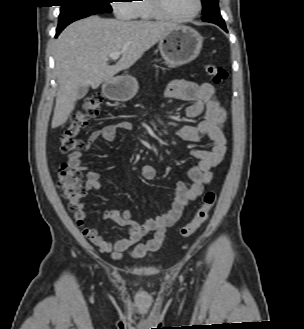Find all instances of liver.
Masks as SVG:
<instances>
[{"label":"liver","instance_id":"1","mask_svg":"<svg viewBox=\"0 0 304 329\" xmlns=\"http://www.w3.org/2000/svg\"><path fill=\"white\" fill-rule=\"evenodd\" d=\"M176 25L167 22L120 21L91 16L70 24L55 41V73L59 89L52 128L63 125L75 108L80 86L93 89L122 70L165 37ZM121 59L109 65V55Z\"/></svg>","mask_w":304,"mask_h":329}]
</instances>
